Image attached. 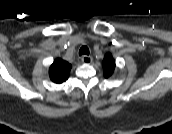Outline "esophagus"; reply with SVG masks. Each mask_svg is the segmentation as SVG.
Masks as SVG:
<instances>
[{"instance_id": "esophagus-1", "label": "esophagus", "mask_w": 172, "mask_h": 134, "mask_svg": "<svg viewBox=\"0 0 172 134\" xmlns=\"http://www.w3.org/2000/svg\"><path fill=\"white\" fill-rule=\"evenodd\" d=\"M81 60H82V62L85 63V64H90V63H92L93 58H92L91 56H88V55H83V56L81 57Z\"/></svg>"}]
</instances>
